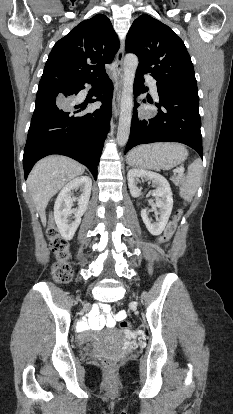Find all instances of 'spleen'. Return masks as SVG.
<instances>
[{
  "label": "spleen",
  "mask_w": 233,
  "mask_h": 414,
  "mask_svg": "<svg viewBox=\"0 0 233 414\" xmlns=\"http://www.w3.org/2000/svg\"><path fill=\"white\" fill-rule=\"evenodd\" d=\"M135 149H133L128 155L133 154ZM201 175L202 163L200 159H197L188 167L186 180L180 187V196L182 198L190 199L194 195L199 186Z\"/></svg>",
  "instance_id": "3e777b00"
}]
</instances>
